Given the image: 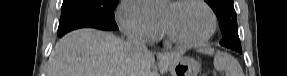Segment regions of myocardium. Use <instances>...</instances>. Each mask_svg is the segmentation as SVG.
Here are the masks:
<instances>
[{"label": "myocardium", "mask_w": 287, "mask_h": 76, "mask_svg": "<svg viewBox=\"0 0 287 76\" xmlns=\"http://www.w3.org/2000/svg\"><path fill=\"white\" fill-rule=\"evenodd\" d=\"M186 3L198 4L207 11L210 17V25H209L208 31L206 32L204 36L196 40H184V39L177 37L172 32V30L169 28V26L164 20L161 19L160 22H161L162 30L165 34V37L168 39V41H170L171 43L175 45H179L183 47H197L208 42L212 38V36L215 34L217 25H218L217 16L214 10L211 8V6L204 0H178V1L171 2L170 5L172 7H178Z\"/></svg>", "instance_id": "f54148a6"}]
</instances>
